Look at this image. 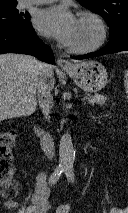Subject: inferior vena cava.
<instances>
[{
  "label": "inferior vena cava",
  "mask_w": 128,
  "mask_h": 213,
  "mask_svg": "<svg viewBox=\"0 0 128 213\" xmlns=\"http://www.w3.org/2000/svg\"><path fill=\"white\" fill-rule=\"evenodd\" d=\"M39 81L37 84V95H38V103L42 112L44 114L45 119L50 122L51 109L53 107V98L51 95L52 88L48 84L47 77L49 75L51 65L46 63H39Z\"/></svg>",
  "instance_id": "obj_1"
}]
</instances>
